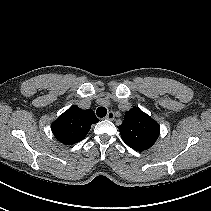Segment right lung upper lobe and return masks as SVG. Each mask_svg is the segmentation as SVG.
Returning <instances> with one entry per match:
<instances>
[{"mask_svg":"<svg viewBox=\"0 0 211 211\" xmlns=\"http://www.w3.org/2000/svg\"><path fill=\"white\" fill-rule=\"evenodd\" d=\"M98 121L91 109L82 110L73 105L52 123L51 129L58 141L73 145L80 142L89 132L91 125Z\"/></svg>","mask_w":211,"mask_h":211,"instance_id":"cb5924a9","label":"right lung upper lobe"}]
</instances>
